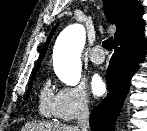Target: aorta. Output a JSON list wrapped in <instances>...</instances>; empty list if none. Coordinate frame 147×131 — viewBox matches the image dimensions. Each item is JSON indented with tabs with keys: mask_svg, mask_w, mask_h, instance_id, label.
<instances>
[{
	"mask_svg": "<svg viewBox=\"0 0 147 131\" xmlns=\"http://www.w3.org/2000/svg\"><path fill=\"white\" fill-rule=\"evenodd\" d=\"M85 29L80 24L68 26L59 35L53 65L58 78L68 86H76L81 79V53L85 45Z\"/></svg>",
	"mask_w": 147,
	"mask_h": 131,
	"instance_id": "762f6f07",
	"label": "aorta"
}]
</instances>
